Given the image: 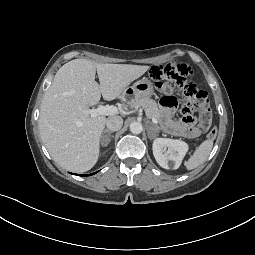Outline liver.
<instances>
[{"label":"liver","instance_id":"1","mask_svg":"<svg viewBox=\"0 0 255 255\" xmlns=\"http://www.w3.org/2000/svg\"><path fill=\"white\" fill-rule=\"evenodd\" d=\"M149 66L100 64L75 59L55 74L40 107L39 130L53 160L66 170L86 172L97 162L100 137L106 117H91L85 110L101 98L110 101L123 96L131 82ZM96 71L99 77L95 81ZM122 114H126L121 110ZM116 116L115 115H111Z\"/></svg>","mask_w":255,"mask_h":255}]
</instances>
